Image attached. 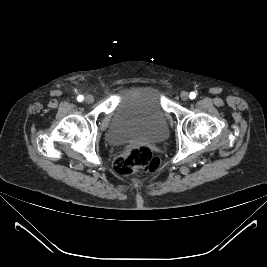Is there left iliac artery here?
Listing matches in <instances>:
<instances>
[{
	"label": "left iliac artery",
	"instance_id": "1",
	"mask_svg": "<svg viewBox=\"0 0 267 267\" xmlns=\"http://www.w3.org/2000/svg\"><path fill=\"white\" fill-rule=\"evenodd\" d=\"M195 97H196V93H195V92H191V93H190V98H191V99H194Z\"/></svg>",
	"mask_w": 267,
	"mask_h": 267
}]
</instances>
